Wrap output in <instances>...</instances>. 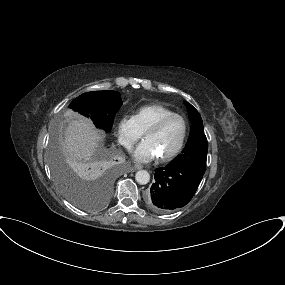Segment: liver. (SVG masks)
Listing matches in <instances>:
<instances>
[{
    "instance_id": "liver-1",
    "label": "liver",
    "mask_w": 285,
    "mask_h": 285,
    "mask_svg": "<svg viewBox=\"0 0 285 285\" xmlns=\"http://www.w3.org/2000/svg\"><path fill=\"white\" fill-rule=\"evenodd\" d=\"M103 135V132L96 130L93 123L85 117L76 116L68 122L64 131L63 151L75 172L83 173V162L95 154Z\"/></svg>"
}]
</instances>
